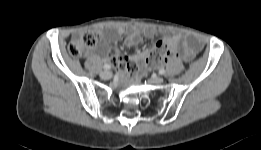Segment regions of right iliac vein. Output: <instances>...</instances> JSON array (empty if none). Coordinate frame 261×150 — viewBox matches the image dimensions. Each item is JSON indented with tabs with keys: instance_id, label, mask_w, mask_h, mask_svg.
Masks as SVG:
<instances>
[{
	"instance_id": "obj_1",
	"label": "right iliac vein",
	"mask_w": 261,
	"mask_h": 150,
	"mask_svg": "<svg viewBox=\"0 0 261 150\" xmlns=\"http://www.w3.org/2000/svg\"><path fill=\"white\" fill-rule=\"evenodd\" d=\"M100 77L104 80H108L112 77V73L110 71H103L100 73Z\"/></svg>"
}]
</instances>
